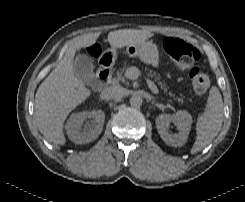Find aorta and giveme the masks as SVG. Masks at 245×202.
I'll return each mask as SVG.
<instances>
[{
	"label": "aorta",
	"mask_w": 245,
	"mask_h": 202,
	"mask_svg": "<svg viewBox=\"0 0 245 202\" xmlns=\"http://www.w3.org/2000/svg\"><path fill=\"white\" fill-rule=\"evenodd\" d=\"M142 97L140 95H133L131 98H130V105L132 107H140L142 105Z\"/></svg>",
	"instance_id": "762f6f07"
}]
</instances>
